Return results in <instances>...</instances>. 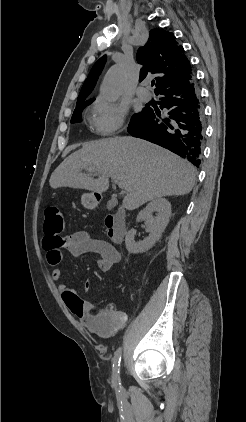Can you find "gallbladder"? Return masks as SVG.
Segmentation results:
<instances>
[{"instance_id":"gallbladder-1","label":"gallbladder","mask_w":246,"mask_h":422,"mask_svg":"<svg viewBox=\"0 0 246 422\" xmlns=\"http://www.w3.org/2000/svg\"><path fill=\"white\" fill-rule=\"evenodd\" d=\"M117 205V200L116 198H112L111 200L108 201L107 203V208L108 209H112Z\"/></svg>"}]
</instances>
